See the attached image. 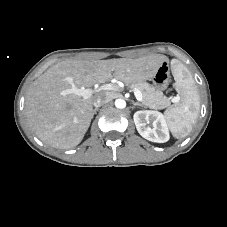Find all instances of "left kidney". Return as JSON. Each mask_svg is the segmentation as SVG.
<instances>
[{"label": "left kidney", "mask_w": 227, "mask_h": 227, "mask_svg": "<svg viewBox=\"0 0 227 227\" xmlns=\"http://www.w3.org/2000/svg\"><path fill=\"white\" fill-rule=\"evenodd\" d=\"M133 119L138 133L143 138L156 143H165L169 140L168 126L161 112L140 110L134 113ZM150 122L153 128L147 125Z\"/></svg>", "instance_id": "obj_1"}]
</instances>
